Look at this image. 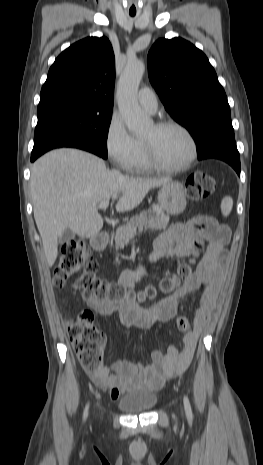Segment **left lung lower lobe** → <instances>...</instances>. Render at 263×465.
<instances>
[{"mask_svg":"<svg viewBox=\"0 0 263 465\" xmlns=\"http://www.w3.org/2000/svg\"><path fill=\"white\" fill-rule=\"evenodd\" d=\"M217 158L230 164L240 176V156L235 138L217 139L203 152L198 153V159Z\"/></svg>","mask_w":263,"mask_h":465,"instance_id":"1","label":"left lung lower lobe"}]
</instances>
